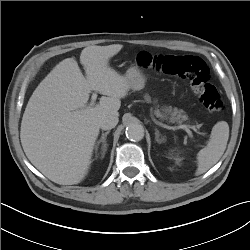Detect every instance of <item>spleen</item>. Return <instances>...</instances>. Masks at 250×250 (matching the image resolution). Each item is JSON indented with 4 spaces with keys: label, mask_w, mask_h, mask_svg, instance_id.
<instances>
[{
    "label": "spleen",
    "mask_w": 250,
    "mask_h": 250,
    "mask_svg": "<svg viewBox=\"0 0 250 250\" xmlns=\"http://www.w3.org/2000/svg\"><path fill=\"white\" fill-rule=\"evenodd\" d=\"M228 138V123L225 121L217 122L212 128L207 145L197 154L196 175L205 173L219 161L226 149Z\"/></svg>",
    "instance_id": "3e777b00"
}]
</instances>
